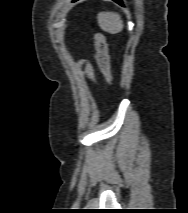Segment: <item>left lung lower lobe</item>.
I'll return each instance as SVG.
<instances>
[{
  "mask_svg": "<svg viewBox=\"0 0 188 213\" xmlns=\"http://www.w3.org/2000/svg\"><path fill=\"white\" fill-rule=\"evenodd\" d=\"M73 1H77V0H73ZM113 1H115V2L119 3L120 5H122V1L121 0H113Z\"/></svg>",
  "mask_w": 188,
  "mask_h": 213,
  "instance_id": "obj_1",
  "label": "left lung lower lobe"
}]
</instances>
